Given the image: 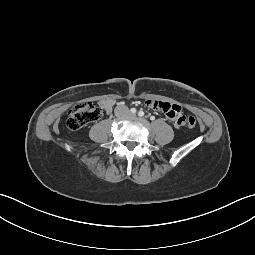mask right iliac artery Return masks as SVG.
<instances>
[{"label": "right iliac artery", "instance_id": "right-iliac-artery-1", "mask_svg": "<svg viewBox=\"0 0 255 255\" xmlns=\"http://www.w3.org/2000/svg\"><path fill=\"white\" fill-rule=\"evenodd\" d=\"M130 112H131L132 114H135V113H136V109H135V108H131V109H130Z\"/></svg>", "mask_w": 255, "mask_h": 255}]
</instances>
